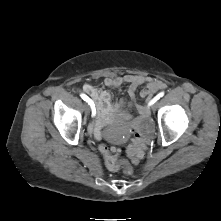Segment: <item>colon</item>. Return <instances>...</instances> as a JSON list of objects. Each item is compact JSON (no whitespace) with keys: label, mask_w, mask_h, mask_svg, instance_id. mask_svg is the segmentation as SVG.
Instances as JSON below:
<instances>
[{"label":"colon","mask_w":221,"mask_h":221,"mask_svg":"<svg viewBox=\"0 0 221 221\" xmlns=\"http://www.w3.org/2000/svg\"><path fill=\"white\" fill-rule=\"evenodd\" d=\"M99 150L103 154L106 165L110 170H117L122 167L123 172L126 175H131L133 173V168L130 163L118 161L119 150L117 148L108 147L105 144H101L99 146ZM146 150V141L144 138L136 134L134 140L127 148V155L131 162L136 164L144 157Z\"/></svg>","instance_id":"colon-1"}]
</instances>
